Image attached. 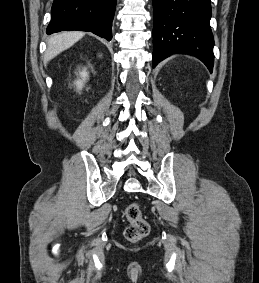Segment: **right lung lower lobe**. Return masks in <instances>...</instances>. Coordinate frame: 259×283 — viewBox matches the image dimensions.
I'll list each match as a JSON object with an SVG mask.
<instances>
[{
	"label": "right lung lower lobe",
	"mask_w": 259,
	"mask_h": 283,
	"mask_svg": "<svg viewBox=\"0 0 259 283\" xmlns=\"http://www.w3.org/2000/svg\"><path fill=\"white\" fill-rule=\"evenodd\" d=\"M116 0H54L46 33L92 32L110 41Z\"/></svg>",
	"instance_id": "obj_1"
}]
</instances>
